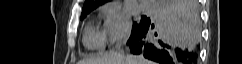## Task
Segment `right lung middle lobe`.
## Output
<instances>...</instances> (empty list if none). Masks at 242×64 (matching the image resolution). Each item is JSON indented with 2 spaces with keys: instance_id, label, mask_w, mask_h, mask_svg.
I'll use <instances>...</instances> for the list:
<instances>
[{
  "instance_id": "right-lung-middle-lobe-1",
  "label": "right lung middle lobe",
  "mask_w": 242,
  "mask_h": 64,
  "mask_svg": "<svg viewBox=\"0 0 242 64\" xmlns=\"http://www.w3.org/2000/svg\"><path fill=\"white\" fill-rule=\"evenodd\" d=\"M87 13H82L81 14V20L84 19L86 17ZM150 18H147L146 16H142L140 23H134L133 24V30H132V34L131 37H134L136 34H138L139 32H141L145 27H147L150 24Z\"/></svg>"
}]
</instances>
